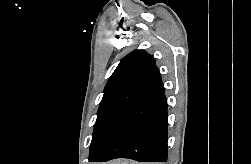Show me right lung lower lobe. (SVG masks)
<instances>
[{
	"instance_id": "1",
	"label": "right lung lower lobe",
	"mask_w": 251,
	"mask_h": 164,
	"mask_svg": "<svg viewBox=\"0 0 251 164\" xmlns=\"http://www.w3.org/2000/svg\"><path fill=\"white\" fill-rule=\"evenodd\" d=\"M115 158L167 161V99L162 82L142 90L139 98L111 125L89 161Z\"/></svg>"
}]
</instances>
